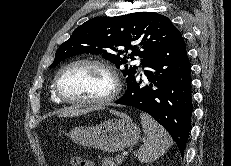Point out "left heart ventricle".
Masks as SVG:
<instances>
[{"instance_id": "b2bd125f", "label": "left heart ventricle", "mask_w": 231, "mask_h": 166, "mask_svg": "<svg viewBox=\"0 0 231 166\" xmlns=\"http://www.w3.org/2000/svg\"><path fill=\"white\" fill-rule=\"evenodd\" d=\"M62 93L71 99L103 97L112 87L111 78L102 68L94 65H75L62 73L59 79Z\"/></svg>"}]
</instances>
